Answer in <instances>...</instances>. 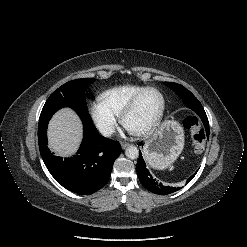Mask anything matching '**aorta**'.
<instances>
[{
	"instance_id": "1",
	"label": "aorta",
	"mask_w": 247,
	"mask_h": 247,
	"mask_svg": "<svg viewBox=\"0 0 247 247\" xmlns=\"http://www.w3.org/2000/svg\"><path fill=\"white\" fill-rule=\"evenodd\" d=\"M126 157L129 159H137L139 156V150L136 146H129L125 151Z\"/></svg>"
}]
</instances>
